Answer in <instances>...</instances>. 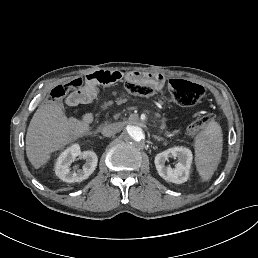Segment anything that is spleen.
<instances>
[{"label":"spleen","mask_w":258,"mask_h":258,"mask_svg":"<svg viewBox=\"0 0 258 258\" xmlns=\"http://www.w3.org/2000/svg\"><path fill=\"white\" fill-rule=\"evenodd\" d=\"M221 126L212 121L195 139V164L203 181H208L217 169L222 155Z\"/></svg>","instance_id":"1"}]
</instances>
